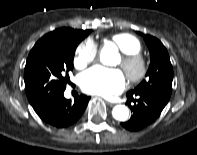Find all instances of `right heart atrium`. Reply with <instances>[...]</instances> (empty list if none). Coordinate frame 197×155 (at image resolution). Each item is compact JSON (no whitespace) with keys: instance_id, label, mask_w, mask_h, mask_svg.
I'll use <instances>...</instances> for the list:
<instances>
[{"instance_id":"d8ad5b80","label":"right heart atrium","mask_w":197,"mask_h":155,"mask_svg":"<svg viewBox=\"0 0 197 155\" xmlns=\"http://www.w3.org/2000/svg\"><path fill=\"white\" fill-rule=\"evenodd\" d=\"M97 46L92 41H85L81 43L75 52L74 66L77 69H83L97 58Z\"/></svg>"}]
</instances>
